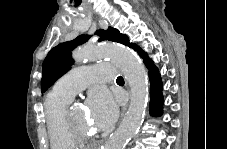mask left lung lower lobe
<instances>
[{
    "label": "left lung lower lobe",
    "instance_id": "obj_1",
    "mask_svg": "<svg viewBox=\"0 0 227 149\" xmlns=\"http://www.w3.org/2000/svg\"><path fill=\"white\" fill-rule=\"evenodd\" d=\"M127 46L136 50L143 58L145 65L149 69L150 76V114L153 116H160L163 111V96H162V82L157 68L153 61L148 58L147 54L142 51L137 45L128 42Z\"/></svg>",
    "mask_w": 227,
    "mask_h": 149
}]
</instances>
